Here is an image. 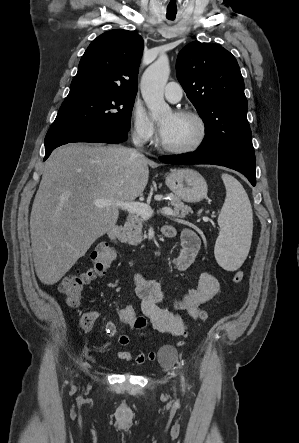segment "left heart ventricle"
<instances>
[{"label":"left heart ventricle","mask_w":299,"mask_h":443,"mask_svg":"<svg viewBox=\"0 0 299 443\" xmlns=\"http://www.w3.org/2000/svg\"><path fill=\"white\" fill-rule=\"evenodd\" d=\"M172 120L168 131L161 136L163 142L169 146L182 147L194 142L198 135V127L190 118L168 114L161 119V123Z\"/></svg>","instance_id":"1"}]
</instances>
